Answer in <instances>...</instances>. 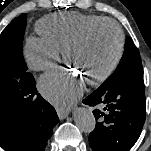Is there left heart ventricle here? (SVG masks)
Here are the masks:
<instances>
[{"label": "left heart ventricle", "mask_w": 151, "mask_h": 151, "mask_svg": "<svg viewBox=\"0 0 151 151\" xmlns=\"http://www.w3.org/2000/svg\"><path fill=\"white\" fill-rule=\"evenodd\" d=\"M117 52V34L112 26L95 29L78 47L69 52V65L85 81L102 74Z\"/></svg>", "instance_id": "left-heart-ventricle-1"}]
</instances>
